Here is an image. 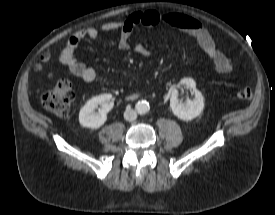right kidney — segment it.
Wrapping results in <instances>:
<instances>
[{
  "label": "right kidney",
  "mask_w": 275,
  "mask_h": 215,
  "mask_svg": "<svg viewBox=\"0 0 275 215\" xmlns=\"http://www.w3.org/2000/svg\"><path fill=\"white\" fill-rule=\"evenodd\" d=\"M100 106L99 110H95ZM114 100L111 94H102L91 98L79 112V122L83 127L98 129L107 120V113L113 108Z\"/></svg>",
  "instance_id": "right-kidney-1"
}]
</instances>
